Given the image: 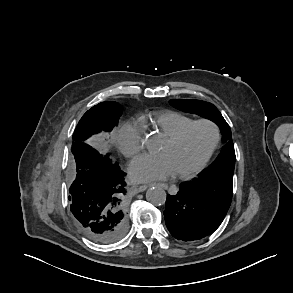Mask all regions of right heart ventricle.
<instances>
[{
    "instance_id": "1",
    "label": "right heart ventricle",
    "mask_w": 293,
    "mask_h": 293,
    "mask_svg": "<svg viewBox=\"0 0 293 293\" xmlns=\"http://www.w3.org/2000/svg\"><path fill=\"white\" fill-rule=\"evenodd\" d=\"M193 120L192 117L183 113L164 110L156 111L147 117H143L141 122H150L154 128L158 129L165 137H168Z\"/></svg>"
}]
</instances>
